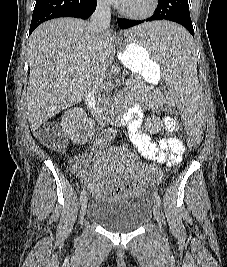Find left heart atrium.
I'll list each match as a JSON object with an SVG mask.
<instances>
[{
	"instance_id": "left-heart-atrium-1",
	"label": "left heart atrium",
	"mask_w": 227,
	"mask_h": 267,
	"mask_svg": "<svg viewBox=\"0 0 227 267\" xmlns=\"http://www.w3.org/2000/svg\"><path fill=\"white\" fill-rule=\"evenodd\" d=\"M112 3L125 7L130 0H110Z\"/></svg>"
}]
</instances>
